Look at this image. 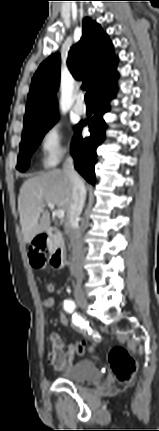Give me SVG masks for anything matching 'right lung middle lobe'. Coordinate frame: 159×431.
<instances>
[{"label":"right lung middle lobe","instance_id":"obj_1","mask_svg":"<svg viewBox=\"0 0 159 431\" xmlns=\"http://www.w3.org/2000/svg\"><path fill=\"white\" fill-rule=\"evenodd\" d=\"M57 119L58 115L23 131L18 164L16 167L19 171L24 172L27 170L31 154L36 150L44 135L56 123Z\"/></svg>","mask_w":159,"mask_h":431}]
</instances>
